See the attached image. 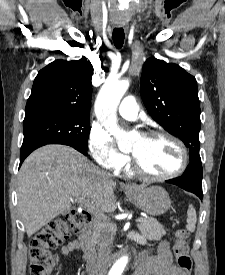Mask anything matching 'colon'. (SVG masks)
Masks as SVG:
<instances>
[{
	"label": "colon",
	"instance_id": "obj_1",
	"mask_svg": "<svg viewBox=\"0 0 225 275\" xmlns=\"http://www.w3.org/2000/svg\"><path fill=\"white\" fill-rule=\"evenodd\" d=\"M91 215L86 211L73 210L64 217L56 218L45 225L30 244V275H50L56 265L57 249L73 232H77ZM189 232L181 227L175 232L173 246L178 267L184 275H191L192 260L189 255Z\"/></svg>",
	"mask_w": 225,
	"mask_h": 275
}]
</instances>
